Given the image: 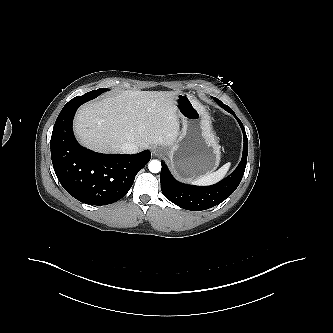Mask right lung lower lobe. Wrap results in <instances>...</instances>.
<instances>
[{
    "mask_svg": "<svg viewBox=\"0 0 333 333\" xmlns=\"http://www.w3.org/2000/svg\"><path fill=\"white\" fill-rule=\"evenodd\" d=\"M78 106L60 112L51 136L53 168L64 189L90 205H108L124 197L151 153L101 154L78 144L72 121Z\"/></svg>",
    "mask_w": 333,
    "mask_h": 333,
    "instance_id": "right-lung-lower-lobe-1",
    "label": "right lung lower lobe"
}]
</instances>
